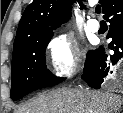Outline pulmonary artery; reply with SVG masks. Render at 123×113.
I'll return each mask as SVG.
<instances>
[{"label":"pulmonary artery","mask_w":123,"mask_h":113,"mask_svg":"<svg viewBox=\"0 0 123 113\" xmlns=\"http://www.w3.org/2000/svg\"><path fill=\"white\" fill-rule=\"evenodd\" d=\"M88 28L92 32H97L100 28V24L97 19L91 18L88 22Z\"/></svg>","instance_id":"pulmonary-artery-1"}]
</instances>
